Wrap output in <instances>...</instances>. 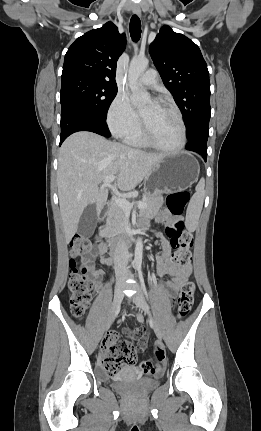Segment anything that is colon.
Masks as SVG:
<instances>
[{
  "instance_id": "1",
  "label": "colon",
  "mask_w": 261,
  "mask_h": 431,
  "mask_svg": "<svg viewBox=\"0 0 261 431\" xmlns=\"http://www.w3.org/2000/svg\"><path fill=\"white\" fill-rule=\"evenodd\" d=\"M190 194L187 191L171 193L168 198V207L172 214L180 215L183 213ZM166 234L170 239L173 248L171 260L180 266L188 265L191 261L190 247L193 244V235L185 230L182 222H176L167 227ZM92 244L90 240L81 236H75L70 242L71 270L69 275L70 308L72 314L81 318L85 314L94 282L89 278L88 272L90 263L84 257L90 254ZM80 259L77 262L76 259ZM195 284L191 281L186 282L181 287V291L176 300L178 316L186 317L193 305ZM163 343L155 346L153 357L150 360H141L138 366L140 373H147L146 379L152 382L154 379L162 377L163 366L167 364V352L163 350ZM134 357V349L131 343L121 338L117 333H110L106 337V342L102 347V365L109 374L117 373L120 368L130 363Z\"/></svg>"
}]
</instances>
